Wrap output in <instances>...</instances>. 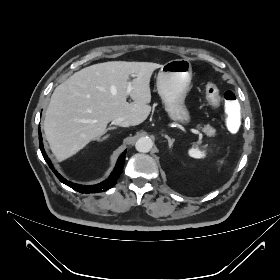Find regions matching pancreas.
I'll return each mask as SVG.
<instances>
[{
    "label": "pancreas",
    "mask_w": 280,
    "mask_h": 280,
    "mask_svg": "<svg viewBox=\"0 0 280 280\" xmlns=\"http://www.w3.org/2000/svg\"><path fill=\"white\" fill-rule=\"evenodd\" d=\"M202 131H203L204 133H206L207 135H209V136L215 135V132H216L215 129L212 128L209 124L205 125V126L202 128Z\"/></svg>",
    "instance_id": "cf45deb5"
}]
</instances>
